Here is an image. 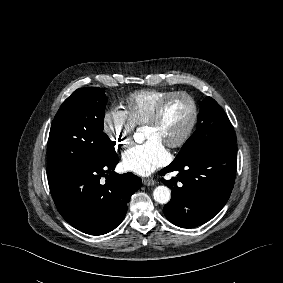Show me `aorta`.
Wrapping results in <instances>:
<instances>
[{"label":"aorta","mask_w":283,"mask_h":283,"mask_svg":"<svg viewBox=\"0 0 283 283\" xmlns=\"http://www.w3.org/2000/svg\"><path fill=\"white\" fill-rule=\"evenodd\" d=\"M139 133H136L134 138L137 140ZM154 200L160 204H166L171 198V191L167 186H158L153 191Z\"/></svg>","instance_id":"aorta-1"}]
</instances>
